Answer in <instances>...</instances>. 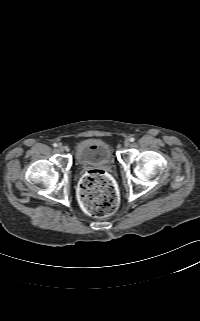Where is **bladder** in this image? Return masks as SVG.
<instances>
[{
    "label": "bladder",
    "instance_id": "1",
    "mask_svg": "<svg viewBox=\"0 0 200 321\" xmlns=\"http://www.w3.org/2000/svg\"><path fill=\"white\" fill-rule=\"evenodd\" d=\"M75 159L81 165L108 164L114 159L113 147L103 139L89 138L76 146Z\"/></svg>",
    "mask_w": 200,
    "mask_h": 321
}]
</instances>
